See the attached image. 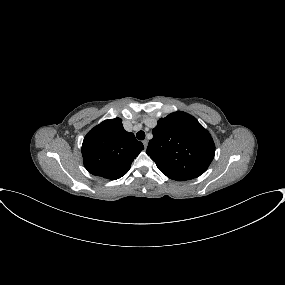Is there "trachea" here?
Segmentation results:
<instances>
[{
  "label": "trachea",
  "mask_w": 285,
  "mask_h": 285,
  "mask_svg": "<svg viewBox=\"0 0 285 285\" xmlns=\"http://www.w3.org/2000/svg\"><path fill=\"white\" fill-rule=\"evenodd\" d=\"M136 137H137L138 140H144L145 132L140 130L139 132H137Z\"/></svg>",
  "instance_id": "obj_1"
}]
</instances>
